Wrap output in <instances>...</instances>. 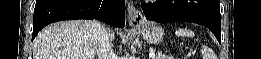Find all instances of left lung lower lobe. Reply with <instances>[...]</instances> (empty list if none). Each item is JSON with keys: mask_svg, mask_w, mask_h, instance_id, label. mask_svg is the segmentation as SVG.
<instances>
[{"mask_svg": "<svg viewBox=\"0 0 261 59\" xmlns=\"http://www.w3.org/2000/svg\"><path fill=\"white\" fill-rule=\"evenodd\" d=\"M141 6L147 20L198 23L207 27L221 43L219 0H158Z\"/></svg>", "mask_w": 261, "mask_h": 59, "instance_id": "obj_1", "label": "left lung lower lobe"}]
</instances>
